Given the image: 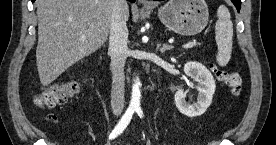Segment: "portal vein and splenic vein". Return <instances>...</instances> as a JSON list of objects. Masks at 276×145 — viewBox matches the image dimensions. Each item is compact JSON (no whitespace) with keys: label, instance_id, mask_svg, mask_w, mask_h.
Listing matches in <instances>:
<instances>
[{"label":"portal vein and splenic vein","instance_id":"18ae733b","mask_svg":"<svg viewBox=\"0 0 276 145\" xmlns=\"http://www.w3.org/2000/svg\"><path fill=\"white\" fill-rule=\"evenodd\" d=\"M81 39L84 40L85 37H82ZM196 45H197V42H196V41H191V42H188V43L184 44V45L182 46V48L188 49V48L195 47Z\"/></svg>","mask_w":276,"mask_h":145}]
</instances>
